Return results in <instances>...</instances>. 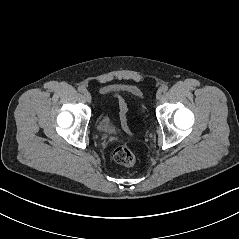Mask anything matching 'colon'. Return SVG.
<instances>
[{
    "label": "colon",
    "instance_id": "obj_1",
    "mask_svg": "<svg viewBox=\"0 0 239 239\" xmlns=\"http://www.w3.org/2000/svg\"><path fill=\"white\" fill-rule=\"evenodd\" d=\"M119 108L122 126L127 132H131L127 120L128 107L122 98L119 99ZM113 158L118 164L127 167L133 166L136 163L135 154L126 146L116 147L113 151Z\"/></svg>",
    "mask_w": 239,
    "mask_h": 239
}]
</instances>
